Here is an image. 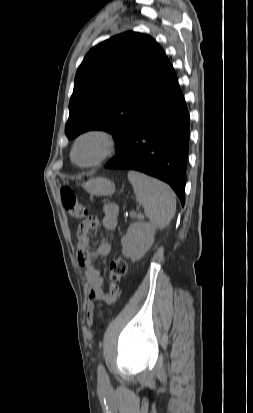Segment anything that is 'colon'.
Returning <instances> with one entry per match:
<instances>
[{"instance_id":"colon-1","label":"colon","mask_w":253,"mask_h":413,"mask_svg":"<svg viewBox=\"0 0 253 413\" xmlns=\"http://www.w3.org/2000/svg\"><path fill=\"white\" fill-rule=\"evenodd\" d=\"M61 199L67 213L73 218H83L87 211L77 198L76 194L68 187L61 189ZM90 218V217H88ZM128 269L127 261L123 257H117L110 264L109 278L113 277L119 281L126 274Z\"/></svg>"}]
</instances>
